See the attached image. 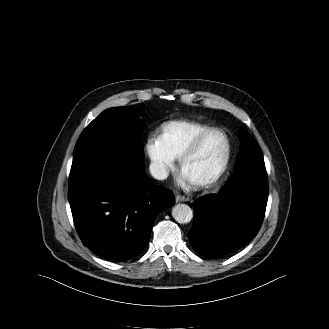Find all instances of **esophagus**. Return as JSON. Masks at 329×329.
<instances>
[{
    "mask_svg": "<svg viewBox=\"0 0 329 329\" xmlns=\"http://www.w3.org/2000/svg\"><path fill=\"white\" fill-rule=\"evenodd\" d=\"M175 200H176V202H185V201H188L189 199L185 196L177 195L175 197Z\"/></svg>",
    "mask_w": 329,
    "mask_h": 329,
    "instance_id": "obj_1",
    "label": "esophagus"
}]
</instances>
